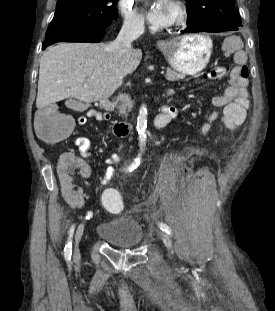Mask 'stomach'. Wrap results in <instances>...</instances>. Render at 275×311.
I'll return each mask as SVG.
<instances>
[{"label": "stomach", "instance_id": "0dacf381", "mask_svg": "<svg viewBox=\"0 0 275 311\" xmlns=\"http://www.w3.org/2000/svg\"><path fill=\"white\" fill-rule=\"evenodd\" d=\"M169 65L185 75H197L206 68L212 53V40L203 34H190L158 45Z\"/></svg>", "mask_w": 275, "mask_h": 311}]
</instances>
